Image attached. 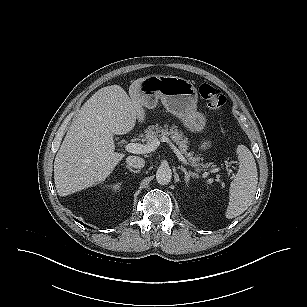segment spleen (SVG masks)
Instances as JSON below:
<instances>
[{"mask_svg":"<svg viewBox=\"0 0 307 307\" xmlns=\"http://www.w3.org/2000/svg\"><path fill=\"white\" fill-rule=\"evenodd\" d=\"M236 153L239 169L230 184L229 204L226 218L232 219L244 213L251 205L257 188L258 173L251 151L244 145H238Z\"/></svg>","mask_w":307,"mask_h":307,"instance_id":"1","label":"spleen"}]
</instances>
